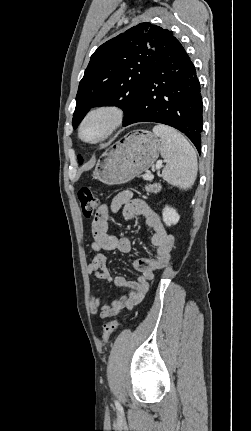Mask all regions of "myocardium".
I'll return each mask as SVG.
<instances>
[{"label": "myocardium", "instance_id": "f54148a6", "mask_svg": "<svg viewBox=\"0 0 251 431\" xmlns=\"http://www.w3.org/2000/svg\"><path fill=\"white\" fill-rule=\"evenodd\" d=\"M97 115H105L108 119L107 126L103 134L94 140H87L83 136V130L86 125V123L94 116ZM124 111L115 105L110 104H103L98 105L86 112V114L83 116L82 120L80 121L79 128H78V136L79 138L87 143V144H98L103 142L104 140L108 139L122 124L124 121Z\"/></svg>", "mask_w": 251, "mask_h": 431}]
</instances>
